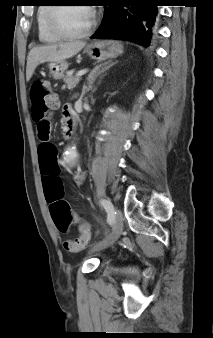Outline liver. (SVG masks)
I'll list each match as a JSON object with an SVG mask.
<instances>
[{
	"label": "liver",
	"mask_w": 213,
	"mask_h": 338,
	"mask_svg": "<svg viewBox=\"0 0 213 338\" xmlns=\"http://www.w3.org/2000/svg\"><path fill=\"white\" fill-rule=\"evenodd\" d=\"M85 46L83 41L44 45L30 50L27 58L26 80L29 81L36 67L44 62H58L69 59Z\"/></svg>",
	"instance_id": "1"
}]
</instances>
